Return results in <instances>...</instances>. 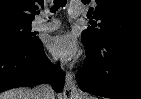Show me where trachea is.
<instances>
[{"label":"trachea","instance_id":"3493384b","mask_svg":"<svg viewBox=\"0 0 141 99\" xmlns=\"http://www.w3.org/2000/svg\"><path fill=\"white\" fill-rule=\"evenodd\" d=\"M65 5L66 0H54V6L51 8V12H55L59 7H64Z\"/></svg>","mask_w":141,"mask_h":99}]
</instances>
